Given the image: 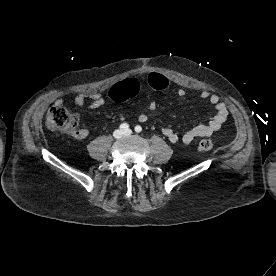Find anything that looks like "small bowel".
<instances>
[{
	"mask_svg": "<svg viewBox=\"0 0 276 276\" xmlns=\"http://www.w3.org/2000/svg\"><path fill=\"white\" fill-rule=\"evenodd\" d=\"M148 84L152 89L159 91H165L168 88L166 78L156 73H152L148 76ZM117 87L120 88V94L115 98L134 97L140 92L141 89L140 82L135 78L127 79L123 83L117 85ZM185 93L186 91L183 88H180L177 91L179 96H184ZM200 97L201 99L208 101L214 107V116L207 123L199 124L182 135H179L170 127H163L161 132L169 142L175 144L181 141L184 144H191L196 138L211 136L220 130L228 116L226 104L220 99L219 96L206 90L201 91ZM62 102V99L57 100V104H61ZM87 102H90L89 107L91 109L100 108L106 103L103 95L100 92L93 90L82 92L74 98V103L78 106L85 105ZM155 109L156 103L151 101L148 105L147 112L140 113L138 115V120L140 122H146L148 120V112H152ZM120 118L124 119L123 114H120ZM88 135L89 132L87 129H78L74 134L77 139H85Z\"/></svg>",
	"mask_w": 276,
	"mask_h": 276,
	"instance_id": "1",
	"label": "small bowel"
}]
</instances>
